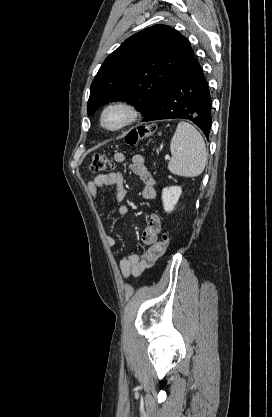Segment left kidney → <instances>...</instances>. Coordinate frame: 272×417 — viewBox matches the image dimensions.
<instances>
[{
    "mask_svg": "<svg viewBox=\"0 0 272 417\" xmlns=\"http://www.w3.org/2000/svg\"><path fill=\"white\" fill-rule=\"evenodd\" d=\"M182 193L180 186L166 187L162 191V202L164 210L168 213L173 211Z\"/></svg>",
    "mask_w": 272,
    "mask_h": 417,
    "instance_id": "1",
    "label": "left kidney"
}]
</instances>
